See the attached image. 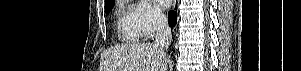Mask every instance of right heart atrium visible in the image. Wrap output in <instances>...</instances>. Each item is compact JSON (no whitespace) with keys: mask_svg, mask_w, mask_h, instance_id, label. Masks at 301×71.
<instances>
[{"mask_svg":"<svg viewBox=\"0 0 301 71\" xmlns=\"http://www.w3.org/2000/svg\"><path fill=\"white\" fill-rule=\"evenodd\" d=\"M130 17L138 35L144 39L152 37L165 22L163 13L148 0L136 1L130 7Z\"/></svg>","mask_w":301,"mask_h":71,"instance_id":"right-heart-atrium-1","label":"right heart atrium"}]
</instances>
